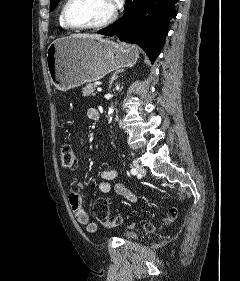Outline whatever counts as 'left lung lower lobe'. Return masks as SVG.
<instances>
[{
	"mask_svg": "<svg viewBox=\"0 0 240 281\" xmlns=\"http://www.w3.org/2000/svg\"><path fill=\"white\" fill-rule=\"evenodd\" d=\"M177 1L126 0L123 16L98 33L139 45L154 62L164 45L169 21L176 16Z\"/></svg>",
	"mask_w": 240,
	"mask_h": 281,
	"instance_id": "left-lung-lower-lobe-1",
	"label": "left lung lower lobe"
}]
</instances>
